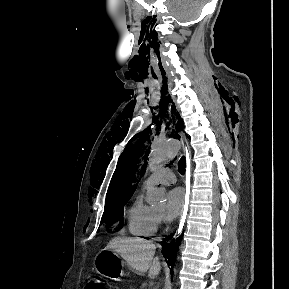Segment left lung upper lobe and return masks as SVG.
Returning a JSON list of instances; mask_svg holds the SVG:
<instances>
[{
    "label": "left lung upper lobe",
    "instance_id": "1",
    "mask_svg": "<svg viewBox=\"0 0 289 289\" xmlns=\"http://www.w3.org/2000/svg\"><path fill=\"white\" fill-rule=\"evenodd\" d=\"M138 142L134 145L137 146ZM134 146H131L130 149ZM142 153V151H141ZM148 156V153L146 154ZM138 155L137 153L134 154L129 149L127 148L123 154L120 157L119 163H118V169L115 172V180L116 183L111 185L108 192H107V197H106V204L105 208L110 212V219L112 220H118L121 217V211L124 206V204L127 202L131 194L133 193L135 189V183L136 179L131 178L129 181H127L125 187L122 188V193L119 195V189L124 185L123 181V175L127 171H131V175H134L133 172L137 170V166L135 163V159H137ZM144 168V166H143ZM143 171V169H142ZM141 171V172H142ZM116 189H117V194H116Z\"/></svg>",
    "mask_w": 289,
    "mask_h": 289
}]
</instances>
